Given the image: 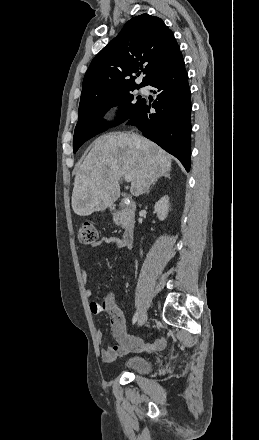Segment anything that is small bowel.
I'll return each mask as SVG.
<instances>
[{"mask_svg":"<svg viewBox=\"0 0 259 440\" xmlns=\"http://www.w3.org/2000/svg\"><path fill=\"white\" fill-rule=\"evenodd\" d=\"M104 244H114L119 248L127 247L123 239L116 236L102 237L100 240L93 243L91 247L96 248ZM84 253L85 250L83 249L80 256L83 257ZM82 282L85 286V294L90 298L92 296V290L88 287V276L85 271L82 272ZM89 309L94 315L105 311L109 314L111 319V331L116 344L105 347L101 350V356L104 361H113L117 357L130 351L162 350L167 345V340L165 338H160L153 344H145L141 338L130 335L126 329L123 313L111 298H108L103 303L92 301L89 304ZM96 337L99 342H102L103 333L98 330L96 332Z\"/></svg>","mask_w":259,"mask_h":440,"instance_id":"small-bowel-1","label":"small bowel"}]
</instances>
